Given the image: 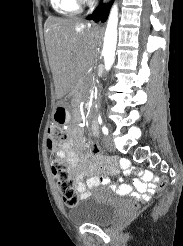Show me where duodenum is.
Wrapping results in <instances>:
<instances>
[{
	"mask_svg": "<svg viewBox=\"0 0 183 246\" xmlns=\"http://www.w3.org/2000/svg\"><path fill=\"white\" fill-rule=\"evenodd\" d=\"M71 98L74 99V94H71Z\"/></svg>",
	"mask_w": 183,
	"mask_h": 246,
	"instance_id": "1",
	"label": "duodenum"
}]
</instances>
